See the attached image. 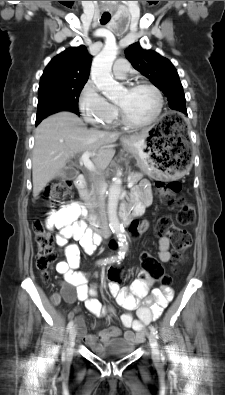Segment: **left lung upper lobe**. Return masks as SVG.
I'll list each match as a JSON object with an SVG mask.
<instances>
[{
  "label": "left lung upper lobe",
  "mask_w": 225,
  "mask_h": 395,
  "mask_svg": "<svg viewBox=\"0 0 225 395\" xmlns=\"http://www.w3.org/2000/svg\"><path fill=\"white\" fill-rule=\"evenodd\" d=\"M125 54L133 67L167 96L171 109L187 115L183 87L170 60L153 50H144L138 42L130 45Z\"/></svg>",
  "instance_id": "5c2ea615"
}]
</instances>
